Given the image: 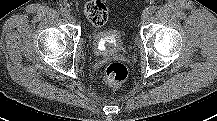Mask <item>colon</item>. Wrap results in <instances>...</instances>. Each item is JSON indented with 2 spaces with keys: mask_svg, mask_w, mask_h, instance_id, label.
<instances>
[{
  "mask_svg": "<svg viewBox=\"0 0 217 121\" xmlns=\"http://www.w3.org/2000/svg\"><path fill=\"white\" fill-rule=\"evenodd\" d=\"M84 14L86 18L96 27L103 26L108 18L106 6L99 0H91L84 5ZM128 76L127 67L119 62L110 64L105 72L104 79L109 85H119L126 80Z\"/></svg>",
  "mask_w": 217,
  "mask_h": 121,
  "instance_id": "colon-1",
  "label": "colon"
}]
</instances>
